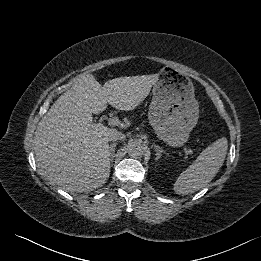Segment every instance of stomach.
I'll use <instances>...</instances> for the list:
<instances>
[{
  "mask_svg": "<svg viewBox=\"0 0 261 261\" xmlns=\"http://www.w3.org/2000/svg\"><path fill=\"white\" fill-rule=\"evenodd\" d=\"M149 123L157 136L173 147L183 145L199 117L190 78L171 67H164L153 85Z\"/></svg>",
  "mask_w": 261,
  "mask_h": 261,
  "instance_id": "obj_1",
  "label": "stomach"
}]
</instances>
